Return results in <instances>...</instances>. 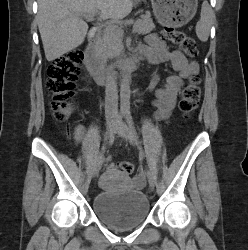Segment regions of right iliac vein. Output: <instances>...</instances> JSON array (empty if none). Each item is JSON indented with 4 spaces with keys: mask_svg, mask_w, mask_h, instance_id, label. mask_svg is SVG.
<instances>
[{
    "mask_svg": "<svg viewBox=\"0 0 248 250\" xmlns=\"http://www.w3.org/2000/svg\"><path fill=\"white\" fill-rule=\"evenodd\" d=\"M115 125V119L114 118H107L106 120V133H105V140L107 141L109 137L111 136V133L113 131ZM103 163V157L98 158L94 167V177H96L99 174V171L101 169Z\"/></svg>",
    "mask_w": 248,
    "mask_h": 250,
    "instance_id": "right-iliac-vein-1",
    "label": "right iliac vein"
}]
</instances>
